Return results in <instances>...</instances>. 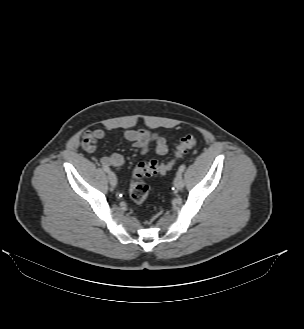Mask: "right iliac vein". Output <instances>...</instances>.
Here are the masks:
<instances>
[{
	"instance_id": "right-iliac-vein-1",
	"label": "right iliac vein",
	"mask_w": 304,
	"mask_h": 329,
	"mask_svg": "<svg viewBox=\"0 0 304 329\" xmlns=\"http://www.w3.org/2000/svg\"><path fill=\"white\" fill-rule=\"evenodd\" d=\"M108 179L112 187H115L117 185V178L113 172L109 173Z\"/></svg>"
}]
</instances>
